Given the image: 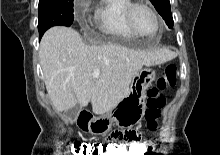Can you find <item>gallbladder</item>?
I'll use <instances>...</instances> for the list:
<instances>
[{"label": "gallbladder", "instance_id": "bac80fb5", "mask_svg": "<svg viewBox=\"0 0 220 155\" xmlns=\"http://www.w3.org/2000/svg\"><path fill=\"white\" fill-rule=\"evenodd\" d=\"M80 111V107L78 105L74 106L73 108H71L70 110L67 111V117L70 120V122H75L78 114Z\"/></svg>", "mask_w": 220, "mask_h": 155}]
</instances>
